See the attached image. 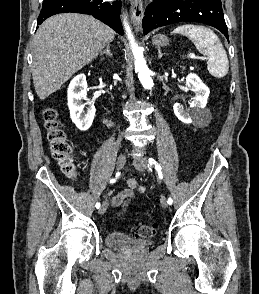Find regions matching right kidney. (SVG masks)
I'll return each mask as SVG.
<instances>
[{
  "instance_id": "ca27d5eb",
  "label": "right kidney",
  "mask_w": 259,
  "mask_h": 294,
  "mask_svg": "<svg viewBox=\"0 0 259 294\" xmlns=\"http://www.w3.org/2000/svg\"><path fill=\"white\" fill-rule=\"evenodd\" d=\"M68 107L70 117L76 127L81 131H86L92 125L95 116V106L87 99V81L84 74L75 76L68 87ZM86 100V103H83ZM87 106L86 111H84Z\"/></svg>"
}]
</instances>
